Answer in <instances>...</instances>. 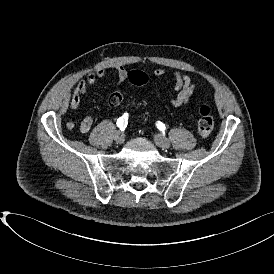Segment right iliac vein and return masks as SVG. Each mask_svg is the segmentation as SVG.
I'll return each instance as SVG.
<instances>
[{
	"mask_svg": "<svg viewBox=\"0 0 274 274\" xmlns=\"http://www.w3.org/2000/svg\"><path fill=\"white\" fill-rule=\"evenodd\" d=\"M114 140L117 144H122L125 140L124 134L122 132H117L114 137Z\"/></svg>",
	"mask_w": 274,
	"mask_h": 274,
	"instance_id": "right-iliac-vein-1",
	"label": "right iliac vein"
}]
</instances>
